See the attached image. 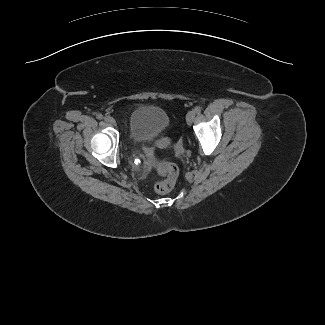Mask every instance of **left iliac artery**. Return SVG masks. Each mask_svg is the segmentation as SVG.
<instances>
[{
  "label": "left iliac artery",
  "mask_w": 325,
  "mask_h": 325,
  "mask_svg": "<svg viewBox=\"0 0 325 325\" xmlns=\"http://www.w3.org/2000/svg\"><path fill=\"white\" fill-rule=\"evenodd\" d=\"M195 113L199 114L201 112V107L200 106H196L194 109Z\"/></svg>",
  "instance_id": "44dca946"
}]
</instances>
